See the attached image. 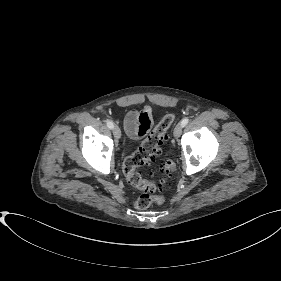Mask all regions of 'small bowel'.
<instances>
[{"label":"small bowel","mask_w":281,"mask_h":281,"mask_svg":"<svg viewBox=\"0 0 281 281\" xmlns=\"http://www.w3.org/2000/svg\"><path fill=\"white\" fill-rule=\"evenodd\" d=\"M153 123L152 109L145 106L141 111L132 110L123 119L126 133L132 139L144 137Z\"/></svg>","instance_id":"small-bowel-1"}]
</instances>
